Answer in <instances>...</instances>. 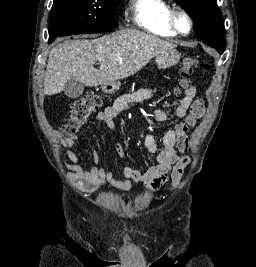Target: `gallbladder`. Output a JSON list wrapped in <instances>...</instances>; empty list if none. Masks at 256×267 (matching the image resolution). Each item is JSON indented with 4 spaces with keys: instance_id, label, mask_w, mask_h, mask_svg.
<instances>
[{
    "instance_id": "1",
    "label": "gallbladder",
    "mask_w": 256,
    "mask_h": 267,
    "mask_svg": "<svg viewBox=\"0 0 256 267\" xmlns=\"http://www.w3.org/2000/svg\"><path fill=\"white\" fill-rule=\"evenodd\" d=\"M63 92L68 98H80L84 92V84H81V82L73 78V80L66 82Z\"/></svg>"
}]
</instances>
